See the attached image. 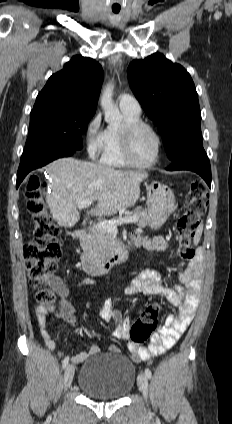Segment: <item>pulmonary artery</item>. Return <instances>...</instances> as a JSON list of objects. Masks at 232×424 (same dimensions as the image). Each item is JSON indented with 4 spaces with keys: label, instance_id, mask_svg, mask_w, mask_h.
Listing matches in <instances>:
<instances>
[{
    "label": "pulmonary artery",
    "instance_id": "1",
    "mask_svg": "<svg viewBox=\"0 0 232 424\" xmlns=\"http://www.w3.org/2000/svg\"><path fill=\"white\" fill-rule=\"evenodd\" d=\"M118 105L121 111L129 112L135 115L141 114V106L138 100L129 94L120 95L118 98Z\"/></svg>",
    "mask_w": 232,
    "mask_h": 424
}]
</instances>
